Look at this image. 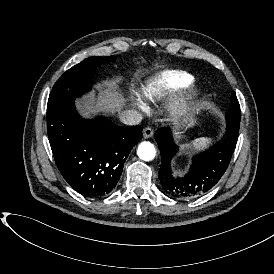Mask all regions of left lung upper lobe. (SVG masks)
<instances>
[{
	"label": "left lung upper lobe",
	"instance_id": "1",
	"mask_svg": "<svg viewBox=\"0 0 274 274\" xmlns=\"http://www.w3.org/2000/svg\"><path fill=\"white\" fill-rule=\"evenodd\" d=\"M240 105L235 92L232 93L230 109L226 112L227 122L240 124Z\"/></svg>",
	"mask_w": 274,
	"mask_h": 274
}]
</instances>
